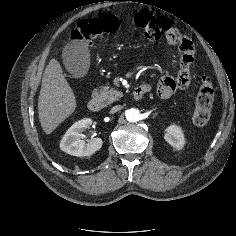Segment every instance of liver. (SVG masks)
Instances as JSON below:
<instances>
[{"label":"liver","instance_id":"6515ba94","mask_svg":"<svg viewBox=\"0 0 236 236\" xmlns=\"http://www.w3.org/2000/svg\"><path fill=\"white\" fill-rule=\"evenodd\" d=\"M75 109L76 98L73 90L60 63L52 58L45 68L38 99V114L43 131L51 134Z\"/></svg>","mask_w":236,"mask_h":236}]
</instances>
